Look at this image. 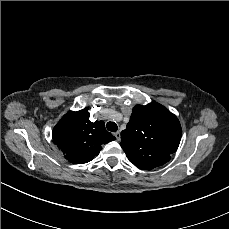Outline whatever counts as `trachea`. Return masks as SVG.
Instances as JSON below:
<instances>
[{"label":"trachea","instance_id":"1","mask_svg":"<svg viewBox=\"0 0 229 229\" xmlns=\"http://www.w3.org/2000/svg\"><path fill=\"white\" fill-rule=\"evenodd\" d=\"M106 127L111 132H116L118 130V126L115 122H107Z\"/></svg>","mask_w":229,"mask_h":229}]
</instances>
